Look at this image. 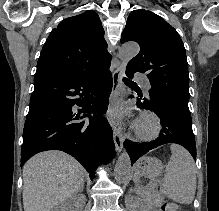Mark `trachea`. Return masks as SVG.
Here are the masks:
<instances>
[{
  "label": "trachea",
  "instance_id": "trachea-1",
  "mask_svg": "<svg viewBox=\"0 0 219 211\" xmlns=\"http://www.w3.org/2000/svg\"><path fill=\"white\" fill-rule=\"evenodd\" d=\"M124 82L126 84H135L134 82H132L131 80L127 79V78H124Z\"/></svg>",
  "mask_w": 219,
  "mask_h": 211
}]
</instances>
